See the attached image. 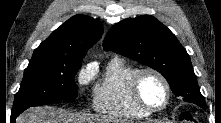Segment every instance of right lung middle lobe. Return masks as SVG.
<instances>
[{"label": "right lung middle lobe", "mask_w": 221, "mask_h": 123, "mask_svg": "<svg viewBox=\"0 0 221 123\" xmlns=\"http://www.w3.org/2000/svg\"><path fill=\"white\" fill-rule=\"evenodd\" d=\"M80 67L81 60L32 58L24 70L12 113H22L31 106L75 99L78 87L74 76Z\"/></svg>", "instance_id": "obj_1"}]
</instances>
